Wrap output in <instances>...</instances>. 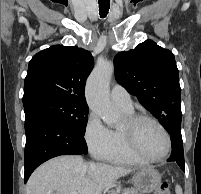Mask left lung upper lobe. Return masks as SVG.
<instances>
[{
    "label": "left lung upper lobe",
    "instance_id": "5c2ea615",
    "mask_svg": "<svg viewBox=\"0 0 201 194\" xmlns=\"http://www.w3.org/2000/svg\"><path fill=\"white\" fill-rule=\"evenodd\" d=\"M115 77L170 132L181 129V88L173 53L152 40L114 58Z\"/></svg>",
    "mask_w": 201,
    "mask_h": 194
}]
</instances>
